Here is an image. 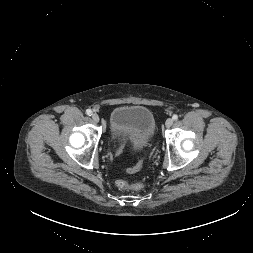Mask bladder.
Wrapping results in <instances>:
<instances>
[{
    "instance_id": "31cf9c89",
    "label": "bladder",
    "mask_w": 253,
    "mask_h": 253,
    "mask_svg": "<svg viewBox=\"0 0 253 253\" xmlns=\"http://www.w3.org/2000/svg\"><path fill=\"white\" fill-rule=\"evenodd\" d=\"M156 135V121L143 105H120L110 115V138L118 143L126 138L133 151L150 148Z\"/></svg>"
}]
</instances>
